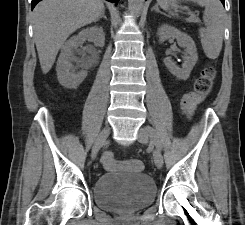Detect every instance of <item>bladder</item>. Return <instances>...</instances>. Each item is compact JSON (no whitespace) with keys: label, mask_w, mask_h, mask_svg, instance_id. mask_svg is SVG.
Here are the masks:
<instances>
[{"label":"bladder","mask_w":245,"mask_h":225,"mask_svg":"<svg viewBox=\"0 0 245 225\" xmlns=\"http://www.w3.org/2000/svg\"><path fill=\"white\" fill-rule=\"evenodd\" d=\"M155 197V182L143 172L104 173L93 185L94 203L107 212L135 213L151 205Z\"/></svg>","instance_id":"31cf9c89"}]
</instances>
